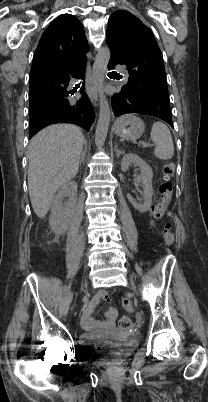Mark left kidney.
Segmentation results:
<instances>
[{"label": "left kidney", "instance_id": "obj_1", "mask_svg": "<svg viewBox=\"0 0 208 402\" xmlns=\"http://www.w3.org/2000/svg\"><path fill=\"white\" fill-rule=\"evenodd\" d=\"M130 164H134V166H139L140 168V176H137L135 182H141L143 184V196H144V202L143 204H138V202H135L134 198L128 194L127 198L129 202H131L132 206H134L135 210H138V212H141V214H144V212H148L150 210V206L152 204V196H153V188H152V178H153V172L142 160V158H139V156H136V154H125L123 156V160L121 162V170L122 172H126L128 170Z\"/></svg>", "mask_w": 208, "mask_h": 402}]
</instances>
